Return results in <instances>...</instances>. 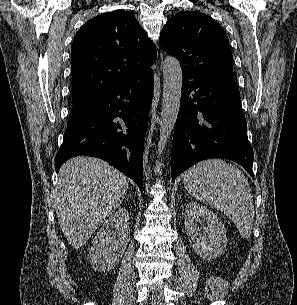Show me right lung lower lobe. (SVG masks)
Segmentation results:
<instances>
[{
  "instance_id": "98d812e1",
  "label": "right lung lower lobe",
  "mask_w": 297,
  "mask_h": 305,
  "mask_svg": "<svg viewBox=\"0 0 297 305\" xmlns=\"http://www.w3.org/2000/svg\"><path fill=\"white\" fill-rule=\"evenodd\" d=\"M153 71L107 88L71 110L55 169L66 160L101 158L143 187V147L153 97Z\"/></svg>"
}]
</instances>
